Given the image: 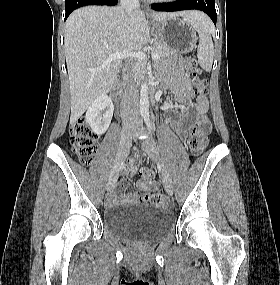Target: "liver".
<instances>
[{
    "label": "liver",
    "mask_w": 280,
    "mask_h": 285,
    "mask_svg": "<svg viewBox=\"0 0 280 285\" xmlns=\"http://www.w3.org/2000/svg\"><path fill=\"white\" fill-rule=\"evenodd\" d=\"M201 13H153L161 22L181 16L195 19ZM151 34L152 31H151ZM145 14H127L118 7L87 6L75 10L65 25V57L71 94L70 122H76L99 96L107 94L116 82L122 59L108 61L111 54L141 50L150 40Z\"/></svg>",
    "instance_id": "6515ba94"
}]
</instances>
